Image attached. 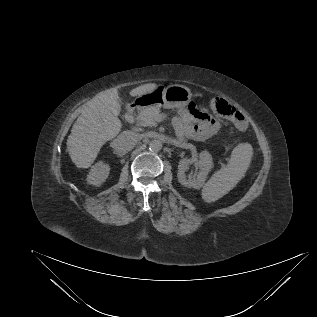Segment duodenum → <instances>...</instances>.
Returning a JSON list of instances; mask_svg holds the SVG:
<instances>
[{
    "mask_svg": "<svg viewBox=\"0 0 317 317\" xmlns=\"http://www.w3.org/2000/svg\"><path fill=\"white\" fill-rule=\"evenodd\" d=\"M140 105L139 102H133L131 103L128 108L126 109V113H125V116H126V119H131L134 112L136 111V109L138 108V106Z\"/></svg>",
    "mask_w": 317,
    "mask_h": 317,
    "instance_id": "duodenum-1",
    "label": "duodenum"
}]
</instances>
